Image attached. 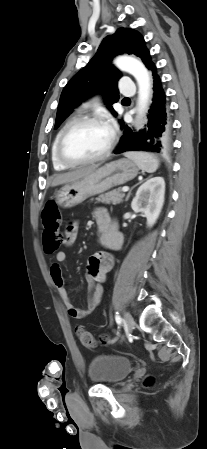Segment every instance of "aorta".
<instances>
[{
    "label": "aorta",
    "mask_w": 207,
    "mask_h": 449,
    "mask_svg": "<svg viewBox=\"0 0 207 449\" xmlns=\"http://www.w3.org/2000/svg\"><path fill=\"white\" fill-rule=\"evenodd\" d=\"M114 64L121 71L127 72L134 76L138 83V112L142 114L148 104L150 91H151V81L150 75L144 64L129 56H120L115 59Z\"/></svg>",
    "instance_id": "aorta-1"
}]
</instances>
